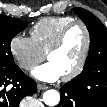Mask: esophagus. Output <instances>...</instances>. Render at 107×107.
Wrapping results in <instances>:
<instances>
[{"instance_id":"34e87169","label":"esophagus","mask_w":107,"mask_h":107,"mask_svg":"<svg viewBox=\"0 0 107 107\" xmlns=\"http://www.w3.org/2000/svg\"><path fill=\"white\" fill-rule=\"evenodd\" d=\"M37 89L40 91V90H45V89H48V86L45 85V84H37Z\"/></svg>"}]
</instances>
